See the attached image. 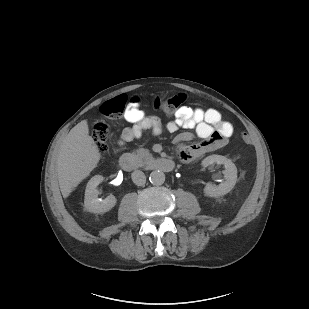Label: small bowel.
<instances>
[{
  "instance_id": "c3829d8e",
  "label": "small bowel",
  "mask_w": 309,
  "mask_h": 309,
  "mask_svg": "<svg viewBox=\"0 0 309 309\" xmlns=\"http://www.w3.org/2000/svg\"><path fill=\"white\" fill-rule=\"evenodd\" d=\"M124 118L133 125L123 132L120 144L139 138L146 130L151 131L153 135H159L162 132L159 118L145 114L139 105L138 98L130 101ZM166 128L171 133L180 128L186 130L175 137V142L181 145L179 154L184 163L195 162L207 153L222 147L233 134L231 123L224 121L221 114L213 108L204 110L182 106L175 112L174 119L167 123ZM191 130L195 132L199 142L186 145L185 143L194 137Z\"/></svg>"
}]
</instances>
